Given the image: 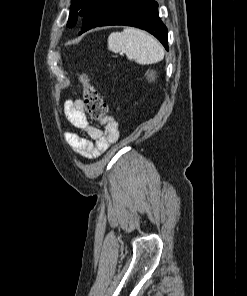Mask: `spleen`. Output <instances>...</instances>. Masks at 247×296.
I'll return each instance as SVG.
<instances>
[{"mask_svg":"<svg viewBox=\"0 0 247 296\" xmlns=\"http://www.w3.org/2000/svg\"><path fill=\"white\" fill-rule=\"evenodd\" d=\"M108 49L114 53L125 52L129 60L150 65L164 58V49L157 39L135 28L113 32L108 37Z\"/></svg>","mask_w":247,"mask_h":296,"instance_id":"obj_1","label":"spleen"}]
</instances>
